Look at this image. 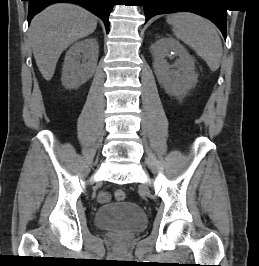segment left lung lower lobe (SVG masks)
I'll return each instance as SVG.
<instances>
[{
  "label": "left lung lower lobe",
  "instance_id": "1",
  "mask_svg": "<svg viewBox=\"0 0 259 266\" xmlns=\"http://www.w3.org/2000/svg\"><path fill=\"white\" fill-rule=\"evenodd\" d=\"M216 0H142L146 22L158 14L188 11L210 19L226 39V9L214 7ZM201 6V7H193Z\"/></svg>",
  "mask_w": 259,
  "mask_h": 266
}]
</instances>
